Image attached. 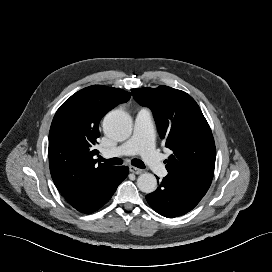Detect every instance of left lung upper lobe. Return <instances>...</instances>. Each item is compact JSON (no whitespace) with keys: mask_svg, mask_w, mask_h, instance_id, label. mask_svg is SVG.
I'll return each instance as SVG.
<instances>
[{"mask_svg":"<svg viewBox=\"0 0 272 272\" xmlns=\"http://www.w3.org/2000/svg\"><path fill=\"white\" fill-rule=\"evenodd\" d=\"M135 100L149 107L165 146L173 151L168 172L213 179L216 148L198 104L187 93L168 86L132 89Z\"/></svg>","mask_w":272,"mask_h":272,"instance_id":"left-lung-upper-lobe-1","label":"left lung upper lobe"}]
</instances>
